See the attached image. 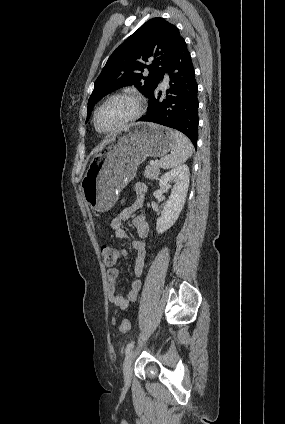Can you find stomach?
Masks as SVG:
<instances>
[{
  "label": "stomach",
  "mask_w": 285,
  "mask_h": 424,
  "mask_svg": "<svg viewBox=\"0 0 285 424\" xmlns=\"http://www.w3.org/2000/svg\"><path fill=\"white\" fill-rule=\"evenodd\" d=\"M173 147L171 129L152 123L130 125L94 155L81 181L86 203L95 211H108L147 157H162Z\"/></svg>",
  "instance_id": "stomach-1"
}]
</instances>
